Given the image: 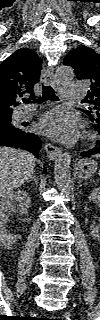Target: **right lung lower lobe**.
I'll list each match as a JSON object with an SVG mask.
<instances>
[{
	"mask_svg": "<svg viewBox=\"0 0 100 320\" xmlns=\"http://www.w3.org/2000/svg\"><path fill=\"white\" fill-rule=\"evenodd\" d=\"M0 146L22 148L38 158L42 142L28 128H23L20 131L3 130L0 132Z\"/></svg>",
	"mask_w": 100,
	"mask_h": 320,
	"instance_id": "obj_1",
	"label": "right lung lower lobe"
}]
</instances>
